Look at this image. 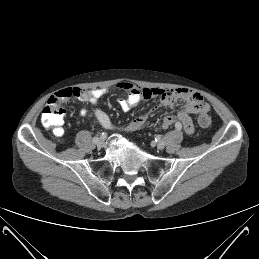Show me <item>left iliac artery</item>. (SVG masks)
<instances>
[{"label":"left iliac artery","instance_id":"obj_1","mask_svg":"<svg viewBox=\"0 0 259 259\" xmlns=\"http://www.w3.org/2000/svg\"><path fill=\"white\" fill-rule=\"evenodd\" d=\"M175 128L179 130V129H181V128H182V126H181V124H180V123H176V124H175Z\"/></svg>","mask_w":259,"mask_h":259}]
</instances>
